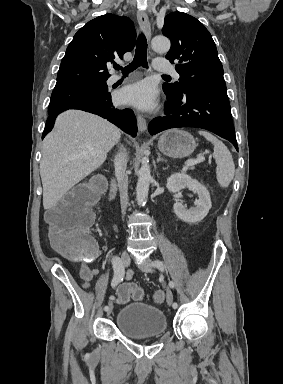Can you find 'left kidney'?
I'll list each match as a JSON object with an SVG mask.
<instances>
[{"instance_id":"obj_1","label":"left kidney","mask_w":283,"mask_h":384,"mask_svg":"<svg viewBox=\"0 0 283 384\" xmlns=\"http://www.w3.org/2000/svg\"><path fill=\"white\" fill-rule=\"evenodd\" d=\"M166 188H168L169 192H173V194L184 190V188H188L191 192L198 194L199 200H195L194 202L196 208L186 210L181 202L174 204L173 210L179 220L188 222V224H196V222H201V220L206 218L212 206L211 198L207 188L199 184L198 180H192L187 174H172L167 180Z\"/></svg>"}]
</instances>
